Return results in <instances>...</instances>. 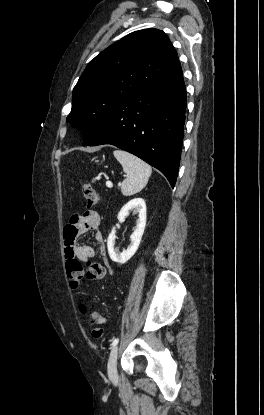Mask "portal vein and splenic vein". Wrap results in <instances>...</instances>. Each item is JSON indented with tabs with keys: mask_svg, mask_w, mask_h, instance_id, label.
Wrapping results in <instances>:
<instances>
[{
	"mask_svg": "<svg viewBox=\"0 0 264 415\" xmlns=\"http://www.w3.org/2000/svg\"><path fill=\"white\" fill-rule=\"evenodd\" d=\"M106 186H107L108 188H112V187H113V184H112V182H111V181H107V182H106Z\"/></svg>",
	"mask_w": 264,
	"mask_h": 415,
	"instance_id": "18ae733b",
	"label": "portal vein and splenic vein"
}]
</instances>
